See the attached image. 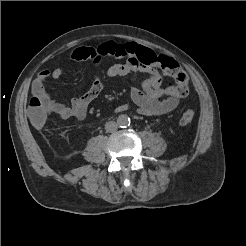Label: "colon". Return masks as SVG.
I'll list each match as a JSON object with an SVG mask.
<instances>
[{"label": "colon", "instance_id": "obj_1", "mask_svg": "<svg viewBox=\"0 0 246 246\" xmlns=\"http://www.w3.org/2000/svg\"><path fill=\"white\" fill-rule=\"evenodd\" d=\"M134 58L139 64L145 67L159 68L165 75L173 78L174 84L166 87V95L182 98L187 96L189 91L187 74L173 58L157 54L151 49L142 46L136 48ZM28 115L34 126H43L50 115L48 102L38 96L32 97L28 104ZM194 116L195 113L192 109L185 110L179 118V124L182 126L190 124Z\"/></svg>", "mask_w": 246, "mask_h": 246}]
</instances>
